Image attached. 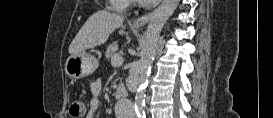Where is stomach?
Returning <instances> with one entry per match:
<instances>
[{
	"label": "stomach",
	"instance_id": "0dacf381",
	"mask_svg": "<svg viewBox=\"0 0 273 118\" xmlns=\"http://www.w3.org/2000/svg\"><path fill=\"white\" fill-rule=\"evenodd\" d=\"M98 67V62L94 56L82 51L79 54L70 55L65 64L66 74L78 80L91 75Z\"/></svg>",
	"mask_w": 273,
	"mask_h": 118
}]
</instances>
